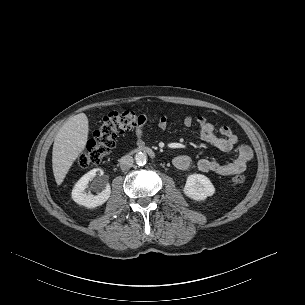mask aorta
Instances as JSON below:
<instances>
[{
	"instance_id": "1",
	"label": "aorta",
	"mask_w": 305,
	"mask_h": 305,
	"mask_svg": "<svg viewBox=\"0 0 305 305\" xmlns=\"http://www.w3.org/2000/svg\"><path fill=\"white\" fill-rule=\"evenodd\" d=\"M135 162L139 166H143L147 162V155L143 152H139L135 155Z\"/></svg>"
}]
</instances>
